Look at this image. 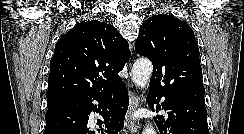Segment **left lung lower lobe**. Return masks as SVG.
I'll use <instances>...</instances> for the list:
<instances>
[{"label": "left lung lower lobe", "instance_id": "1", "mask_svg": "<svg viewBox=\"0 0 244 134\" xmlns=\"http://www.w3.org/2000/svg\"><path fill=\"white\" fill-rule=\"evenodd\" d=\"M151 88L148 102L153 106L162 97V109L168 110V119L158 116L160 131L164 134H209L207 125V110L202 102L171 96Z\"/></svg>", "mask_w": 244, "mask_h": 134}]
</instances>
